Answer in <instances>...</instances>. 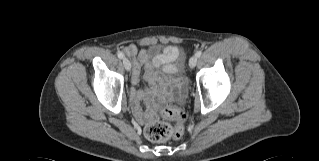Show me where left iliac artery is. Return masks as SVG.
<instances>
[{"mask_svg": "<svg viewBox=\"0 0 319 161\" xmlns=\"http://www.w3.org/2000/svg\"><path fill=\"white\" fill-rule=\"evenodd\" d=\"M201 54H202V52H201V51H197L195 55H196L197 57H200V56H201Z\"/></svg>", "mask_w": 319, "mask_h": 161, "instance_id": "left-iliac-artery-1", "label": "left iliac artery"}]
</instances>
